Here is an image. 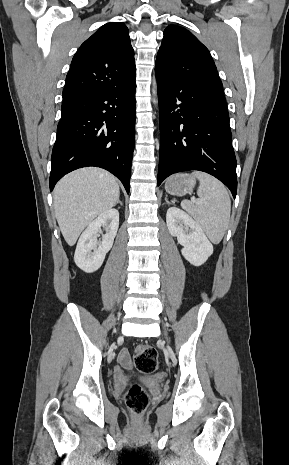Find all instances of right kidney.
Here are the masks:
<instances>
[{
    "mask_svg": "<svg viewBox=\"0 0 289 465\" xmlns=\"http://www.w3.org/2000/svg\"><path fill=\"white\" fill-rule=\"evenodd\" d=\"M101 227L106 229L102 241H98ZM119 227V212L109 209L101 213L82 233L74 254L76 265L87 273L98 270L105 259L106 253L112 248Z\"/></svg>",
    "mask_w": 289,
    "mask_h": 465,
    "instance_id": "obj_1",
    "label": "right kidney"
}]
</instances>
